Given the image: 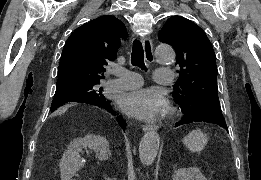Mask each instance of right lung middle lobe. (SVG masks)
<instances>
[{
    "label": "right lung middle lobe",
    "instance_id": "1",
    "mask_svg": "<svg viewBox=\"0 0 261 180\" xmlns=\"http://www.w3.org/2000/svg\"><path fill=\"white\" fill-rule=\"evenodd\" d=\"M100 80H69L57 83L51 110L67 102H92L106 99L99 88Z\"/></svg>",
    "mask_w": 261,
    "mask_h": 180
}]
</instances>
